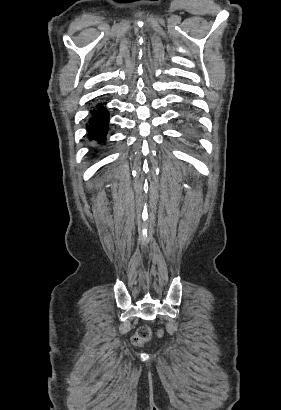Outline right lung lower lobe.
<instances>
[{"instance_id":"1","label":"right lung lower lobe","mask_w":281,"mask_h":410,"mask_svg":"<svg viewBox=\"0 0 281 410\" xmlns=\"http://www.w3.org/2000/svg\"><path fill=\"white\" fill-rule=\"evenodd\" d=\"M108 123L109 117L106 107L102 104H98L97 109L91 111L89 123L86 125L89 139L95 140L99 143L105 142V136L108 131Z\"/></svg>"}]
</instances>
